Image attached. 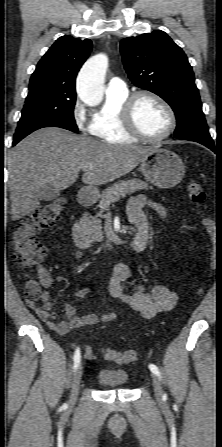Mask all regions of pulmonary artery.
Instances as JSON below:
<instances>
[{
	"instance_id": "1",
	"label": "pulmonary artery",
	"mask_w": 222,
	"mask_h": 447,
	"mask_svg": "<svg viewBox=\"0 0 222 447\" xmlns=\"http://www.w3.org/2000/svg\"><path fill=\"white\" fill-rule=\"evenodd\" d=\"M126 90V83L119 77H112L106 86L107 93H122Z\"/></svg>"
}]
</instances>
